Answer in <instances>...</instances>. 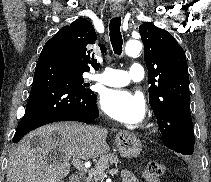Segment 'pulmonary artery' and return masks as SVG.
<instances>
[{"label":"pulmonary artery","instance_id":"pulmonary-artery-1","mask_svg":"<svg viewBox=\"0 0 211 182\" xmlns=\"http://www.w3.org/2000/svg\"><path fill=\"white\" fill-rule=\"evenodd\" d=\"M144 78V68L141 64L134 63L128 71L106 68L95 79L107 86H125L131 81H141Z\"/></svg>","mask_w":211,"mask_h":182}]
</instances>
